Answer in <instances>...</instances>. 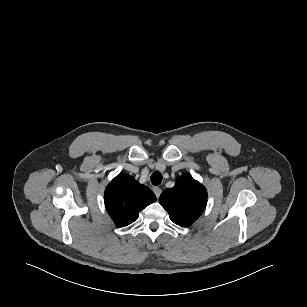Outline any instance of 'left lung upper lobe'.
Masks as SVG:
<instances>
[{"mask_svg": "<svg viewBox=\"0 0 307 307\" xmlns=\"http://www.w3.org/2000/svg\"><path fill=\"white\" fill-rule=\"evenodd\" d=\"M159 202L168 211L172 222L187 227L204 211L207 192L205 187L191 175L184 174L176 179L173 188L162 192Z\"/></svg>", "mask_w": 307, "mask_h": 307, "instance_id": "left-lung-upper-lobe-1", "label": "left lung upper lobe"}]
</instances>
